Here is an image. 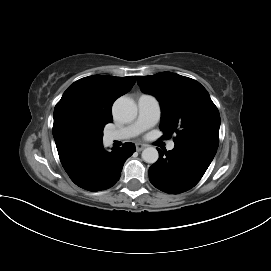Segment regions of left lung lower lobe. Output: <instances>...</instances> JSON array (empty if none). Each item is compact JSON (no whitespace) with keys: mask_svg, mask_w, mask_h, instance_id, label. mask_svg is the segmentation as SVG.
Listing matches in <instances>:
<instances>
[{"mask_svg":"<svg viewBox=\"0 0 271 271\" xmlns=\"http://www.w3.org/2000/svg\"><path fill=\"white\" fill-rule=\"evenodd\" d=\"M159 151L149 168V180L159 190L179 194L194 187L212 162L217 149L190 141L175 143L173 150Z\"/></svg>","mask_w":271,"mask_h":271,"instance_id":"obj_1","label":"left lung lower lobe"}]
</instances>
